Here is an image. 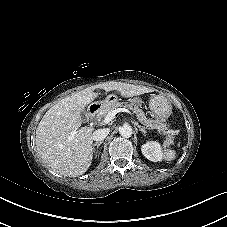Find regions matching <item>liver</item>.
Instances as JSON below:
<instances>
[{
  "mask_svg": "<svg viewBox=\"0 0 227 227\" xmlns=\"http://www.w3.org/2000/svg\"><path fill=\"white\" fill-rule=\"evenodd\" d=\"M98 88L116 90L125 98L151 92L138 85L109 82ZM95 87L67 96L42 117L36 129V147L42 161L55 173L78 177L90 167L93 159V127H81V113L97 96ZM76 131L75 135H71Z\"/></svg>",
  "mask_w": 227,
  "mask_h": 227,
  "instance_id": "obj_1",
  "label": "liver"
}]
</instances>
